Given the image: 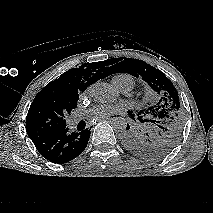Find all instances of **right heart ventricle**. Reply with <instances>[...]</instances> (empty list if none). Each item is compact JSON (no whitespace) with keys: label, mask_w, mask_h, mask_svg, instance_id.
<instances>
[{"label":"right heart ventricle","mask_w":213,"mask_h":213,"mask_svg":"<svg viewBox=\"0 0 213 213\" xmlns=\"http://www.w3.org/2000/svg\"><path fill=\"white\" fill-rule=\"evenodd\" d=\"M112 83L116 88L129 85L131 88L134 86V78L129 74H118L113 77Z\"/></svg>","instance_id":"e07e8e85"}]
</instances>
